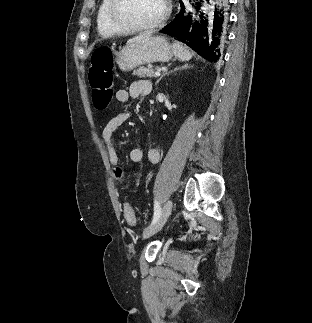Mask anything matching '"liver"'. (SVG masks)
<instances>
[{"label":"liver","instance_id":"6515ba94","mask_svg":"<svg viewBox=\"0 0 312 323\" xmlns=\"http://www.w3.org/2000/svg\"><path fill=\"white\" fill-rule=\"evenodd\" d=\"M142 36L146 38V36H149V34H141V36H135V38H132V40H128L127 44H129V42H133V40H137V38H142Z\"/></svg>","mask_w":312,"mask_h":323}]
</instances>
